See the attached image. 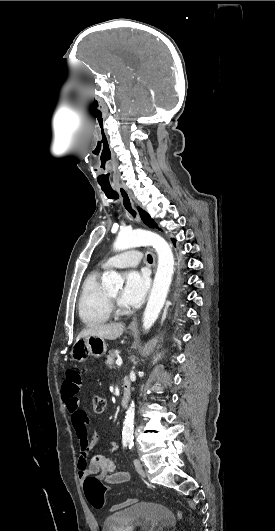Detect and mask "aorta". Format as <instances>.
<instances>
[{"mask_svg":"<svg viewBox=\"0 0 275 531\" xmlns=\"http://www.w3.org/2000/svg\"><path fill=\"white\" fill-rule=\"evenodd\" d=\"M143 243L145 245H152L158 255L157 273L146 309L143 313V329L144 331H149L155 321H157L159 313L164 307L172 283V277L174 275L172 249L166 243L165 239H162L156 233H149V231H129V229L119 231L113 243V249L115 251H126V249H133V247H140ZM103 283L108 291H118V289H122L124 279H122L121 275L115 273V271H110L109 275H105ZM134 407V401H132L124 419L123 437H133Z\"/></svg>","mask_w":275,"mask_h":531,"instance_id":"1","label":"aorta"}]
</instances>
